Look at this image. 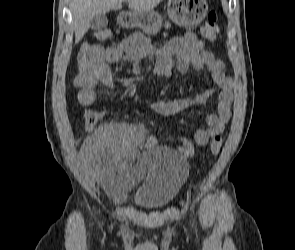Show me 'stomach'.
<instances>
[{
    "label": "stomach",
    "instance_id": "0dacf381",
    "mask_svg": "<svg viewBox=\"0 0 295 250\" xmlns=\"http://www.w3.org/2000/svg\"><path fill=\"white\" fill-rule=\"evenodd\" d=\"M206 0H168L167 14L171 21L181 26L199 24L207 15ZM118 21L125 28H141L146 34H156L162 26L161 15L151 10L129 11L119 16Z\"/></svg>",
    "mask_w": 295,
    "mask_h": 250
}]
</instances>
